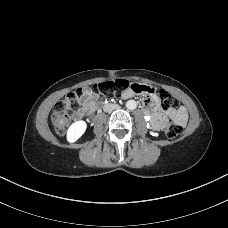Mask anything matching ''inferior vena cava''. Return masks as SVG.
<instances>
[{"label": "inferior vena cava", "instance_id": "inferior-vena-cava-1", "mask_svg": "<svg viewBox=\"0 0 228 228\" xmlns=\"http://www.w3.org/2000/svg\"><path fill=\"white\" fill-rule=\"evenodd\" d=\"M118 108H119L118 104H106V105H104L103 110L105 112L111 113L112 111H114Z\"/></svg>", "mask_w": 228, "mask_h": 228}]
</instances>
